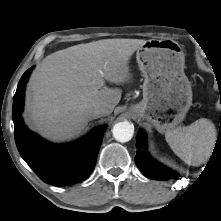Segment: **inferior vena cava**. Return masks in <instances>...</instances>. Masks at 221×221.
<instances>
[{
	"label": "inferior vena cava",
	"mask_w": 221,
	"mask_h": 221,
	"mask_svg": "<svg viewBox=\"0 0 221 221\" xmlns=\"http://www.w3.org/2000/svg\"><path fill=\"white\" fill-rule=\"evenodd\" d=\"M86 114L90 119L98 118L104 114L101 106H91L86 110Z\"/></svg>",
	"instance_id": "1"
}]
</instances>
